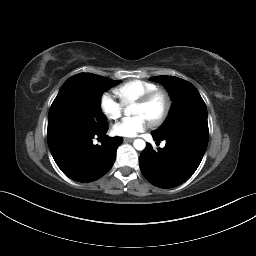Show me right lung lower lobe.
<instances>
[{
    "label": "right lung lower lobe",
    "instance_id": "obj_1",
    "mask_svg": "<svg viewBox=\"0 0 256 256\" xmlns=\"http://www.w3.org/2000/svg\"><path fill=\"white\" fill-rule=\"evenodd\" d=\"M108 128L85 132L73 127H48L47 138L51 154L69 178L91 182L101 178L114 164L121 137L107 138ZM95 136H104L102 145H94Z\"/></svg>",
    "mask_w": 256,
    "mask_h": 256
}]
</instances>
